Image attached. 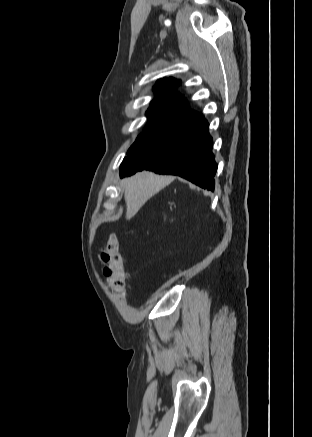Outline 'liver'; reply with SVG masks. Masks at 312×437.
<instances>
[{
  "instance_id": "1",
  "label": "liver",
  "mask_w": 312,
  "mask_h": 437,
  "mask_svg": "<svg viewBox=\"0 0 312 437\" xmlns=\"http://www.w3.org/2000/svg\"><path fill=\"white\" fill-rule=\"evenodd\" d=\"M174 179L173 176H162L152 172H141L125 178L123 184L125 185L126 219L132 218L152 196L168 186Z\"/></svg>"
}]
</instances>
